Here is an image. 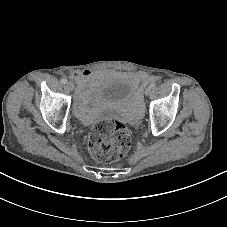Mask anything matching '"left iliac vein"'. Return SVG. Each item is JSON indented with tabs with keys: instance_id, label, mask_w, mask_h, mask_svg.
Here are the masks:
<instances>
[{
	"instance_id": "1",
	"label": "left iliac vein",
	"mask_w": 227,
	"mask_h": 227,
	"mask_svg": "<svg viewBox=\"0 0 227 227\" xmlns=\"http://www.w3.org/2000/svg\"><path fill=\"white\" fill-rule=\"evenodd\" d=\"M152 89L153 88H151L150 86H148L147 88H146V90H145V95H150L151 94V92H152Z\"/></svg>"
}]
</instances>
